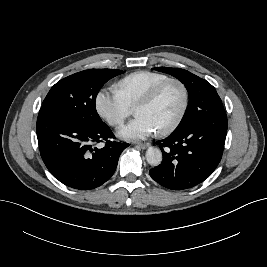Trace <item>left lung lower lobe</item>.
Masks as SVG:
<instances>
[{
	"label": "left lung lower lobe",
	"instance_id": "0a47b994",
	"mask_svg": "<svg viewBox=\"0 0 267 267\" xmlns=\"http://www.w3.org/2000/svg\"><path fill=\"white\" fill-rule=\"evenodd\" d=\"M205 112L200 122L157 141L163 161L150 170V176L163 187L171 190L195 187L219 164L227 134V116Z\"/></svg>",
	"mask_w": 267,
	"mask_h": 267
}]
</instances>
